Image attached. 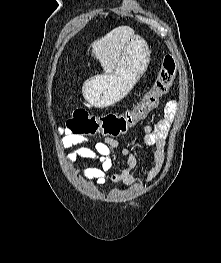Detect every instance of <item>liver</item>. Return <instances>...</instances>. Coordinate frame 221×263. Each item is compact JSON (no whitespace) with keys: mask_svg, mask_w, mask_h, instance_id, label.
Wrapping results in <instances>:
<instances>
[{"mask_svg":"<svg viewBox=\"0 0 221 263\" xmlns=\"http://www.w3.org/2000/svg\"><path fill=\"white\" fill-rule=\"evenodd\" d=\"M133 34L134 30L132 28L120 26L91 44L92 55L99 60L105 72H110L116 67L125 46Z\"/></svg>","mask_w":221,"mask_h":263,"instance_id":"1","label":"liver"}]
</instances>
